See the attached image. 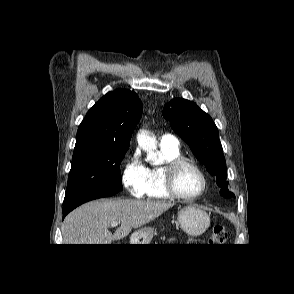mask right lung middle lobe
I'll use <instances>...</instances> for the list:
<instances>
[{
	"instance_id": "obj_1",
	"label": "right lung middle lobe",
	"mask_w": 294,
	"mask_h": 294,
	"mask_svg": "<svg viewBox=\"0 0 294 294\" xmlns=\"http://www.w3.org/2000/svg\"><path fill=\"white\" fill-rule=\"evenodd\" d=\"M128 148L75 147L63 204L88 194L122 190L120 164Z\"/></svg>"
}]
</instances>
